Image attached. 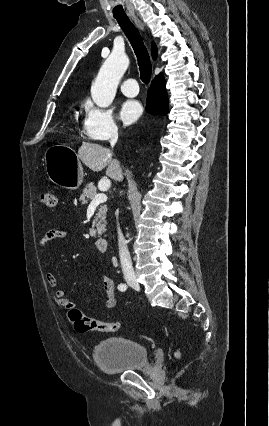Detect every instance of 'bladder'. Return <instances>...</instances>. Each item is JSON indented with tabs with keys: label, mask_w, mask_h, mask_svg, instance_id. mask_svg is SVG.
I'll return each mask as SVG.
<instances>
[{
	"label": "bladder",
	"mask_w": 269,
	"mask_h": 426,
	"mask_svg": "<svg viewBox=\"0 0 269 426\" xmlns=\"http://www.w3.org/2000/svg\"><path fill=\"white\" fill-rule=\"evenodd\" d=\"M93 359L107 374L144 369L149 364L146 348L137 341L123 337L102 340L94 350Z\"/></svg>",
	"instance_id": "obj_1"
}]
</instances>
